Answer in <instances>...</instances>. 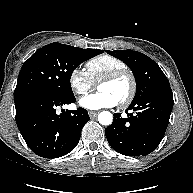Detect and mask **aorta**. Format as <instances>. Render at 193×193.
I'll use <instances>...</instances> for the list:
<instances>
[{
	"instance_id": "762f6f07",
	"label": "aorta",
	"mask_w": 193,
	"mask_h": 193,
	"mask_svg": "<svg viewBox=\"0 0 193 193\" xmlns=\"http://www.w3.org/2000/svg\"><path fill=\"white\" fill-rule=\"evenodd\" d=\"M98 121L101 125H110L113 122V115L108 111H103L98 115Z\"/></svg>"
}]
</instances>
